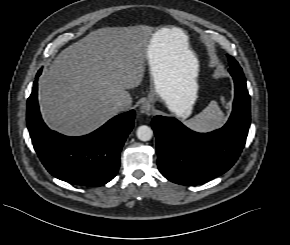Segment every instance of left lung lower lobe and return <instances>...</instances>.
Listing matches in <instances>:
<instances>
[{"label": "left lung lower lobe", "instance_id": "obj_1", "mask_svg": "<svg viewBox=\"0 0 290 245\" xmlns=\"http://www.w3.org/2000/svg\"><path fill=\"white\" fill-rule=\"evenodd\" d=\"M234 79L233 111L221 129L197 133L175 118L155 116L158 168L168 180L199 185L229 170L238 159L250 126V96L240 67L230 66Z\"/></svg>", "mask_w": 290, "mask_h": 245}]
</instances>
